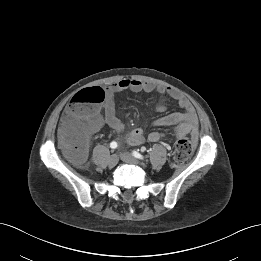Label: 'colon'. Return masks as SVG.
<instances>
[{
  "instance_id": "obj_1",
  "label": "colon",
  "mask_w": 261,
  "mask_h": 261,
  "mask_svg": "<svg viewBox=\"0 0 261 261\" xmlns=\"http://www.w3.org/2000/svg\"><path fill=\"white\" fill-rule=\"evenodd\" d=\"M105 93L100 87L79 91L66 108L60 129V143L66 156L75 163H82L87 155L88 120L104 102ZM193 153V144L186 137H179L175 144L174 159L181 163Z\"/></svg>"
}]
</instances>
